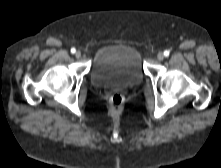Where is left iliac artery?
Wrapping results in <instances>:
<instances>
[{"mask_svg": "<svg viewBox=\"0 0 221 168\" xmlns=\"http://www.w3.org/2000/svg\"><path fill=\"white\" fill-rule=\"evenodd\" d=\"M164 55L167 57V56H169V51L168 50H165L164 51Z\"/></svg>", "mask_w": 221, "mask_h": 168, "instance_id": "1", "label": "left iliac artery"}]
</instances>
